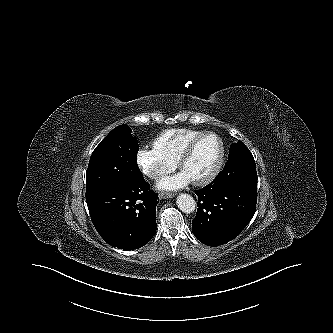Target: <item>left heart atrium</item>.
Returning <instances> with one entry per match:
<instances>
[{
  "label": "left heart atrium",
  "instance_id": "left-heart-atrium-1",
  "mask_svg": "<svg viewBox=\"0 0 333 333\" xmlns=\"http://www.w3.org/2000/svg\"><path fill=\"white\" fill-rule=\"evenodd\" d=\"M190 178L183 172L166 177L158 183V187L164 190H177L190 183Z\"/></svg>",
  "mask_w": 333,
  "mask_h": 333
}]
</instances>
